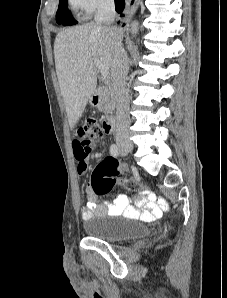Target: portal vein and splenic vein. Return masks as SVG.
I'll return each mask as SVG.
<instances>
[{"label":"portal vein and splenic vein","mask_w":227,"mask_h":298,"mask_svg":"<svg viewBox=\"0 0 227 298\" xmlns=\"http://www.w3.org/2000/svg\"><path fill=\"white\" fill-rule=\"evenodd\" d=\"M94 65L98 68L102 76L106 77L109 74V68L103 65L98 59H94Z\"/></svg>","instance_id":"18ae733b"}]
</instances>
